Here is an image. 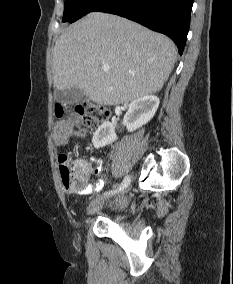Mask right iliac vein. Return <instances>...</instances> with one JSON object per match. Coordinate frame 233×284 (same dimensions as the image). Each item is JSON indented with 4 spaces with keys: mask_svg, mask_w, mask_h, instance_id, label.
I'll return each instance as SVG.
<instances>
[{
    "mask_svg": "<svg viewBox=\"0 0 233 284\" xmlns=\"http://www.w3.org/2000/svg\"><path fill=\"white\" fill-rule=\"evenodd\" d=\"M131 187H132V184L128 183L127 187H123L122 193L120 195L129 194ZM104 202H105V200L103 198H97L94 201H92V203L90 204V206L88 208V213L94 214L95 212L102 209Z\"/></svg>",
    "mask_w": 233,
    "mask_h": 284,
    "instance_id": "obj_1",
    "label": "right iliac vein"
}]
</instances>
